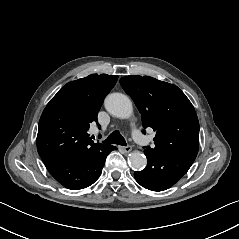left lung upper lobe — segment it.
Returning <instances> with one entry per match:
<instances>
[{
	"label": "left lung upper lobe",
	"mask_w": 239,
	"mask_h": 239,
	"mask_svg": "<svg viewBox=\"0 0 239 239\" xmlns=\"http://www.w3.org/2000/svg\"><path fill=\"white\" fill-rule=\"evenodd\" d=\"M120 84L141 113L143 127L156 131L155 147L146 149L155 153H198V118L177 86L148 76H125Z\"/></svg>",
	"instance_id": "left-lung-upper-lobe-1"
}]
</instances>
